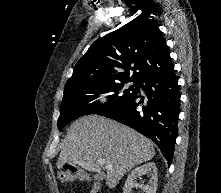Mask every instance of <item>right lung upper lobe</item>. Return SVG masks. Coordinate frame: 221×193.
<instances>
[{
	"label": "right lung upper lobe",
	"mask_w": 221,
	"mask_h": 193,
	"mask_svg": "<svg viewBox=\"0 0 221 193\" xmlns=\"http://www.w3.org/2000/svg\"><path fill=\"white\" fill-rule=\"evenodd\" d=\"M172 69L170 52L156 20L138 17L96 40L75 65L65 89L141 82Z\"/></svg>",
	"instance_id": "cb5924a9"
}]
</instances>
